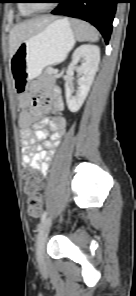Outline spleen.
I'll return each mask as SVG.
<instances>
[{"mask_svg": "<svg viewBox=\"0 0 136 296\" xmlns=\"http://www.w3.org/2000/svg\"><path fill=\"white\" fill-rule=\"evenodd\" d=\"M71 25L73 27L74 34L78 40L90 42L98 41L99 34L97 30L89 23L78 19H73L71 20Z\"/></svg>", "mask_w": 136, "mask_h": 296, "instance_id": "obj_1", "label": "spleen"}]
</instances>
